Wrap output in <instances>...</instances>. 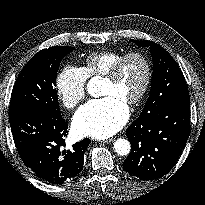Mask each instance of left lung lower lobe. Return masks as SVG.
<instances>
[{
    "instance_id": "1",
    "label": "left lung lower lobe",
    "mask_w": 205,
    "mask_h": 205,
    "mask_svg": "<svg viewBox=\"0 0 205 205\" xmlns=\"http://www.w3.org/2000/svg\"><path fill=\"white\" fill-rule=\"evenodd\" d=\"M189 134L190 99L175 100L126 130L132 150L123 168L141 180L162 177L175 165Z\"/></svg>"
}]
</instances>
